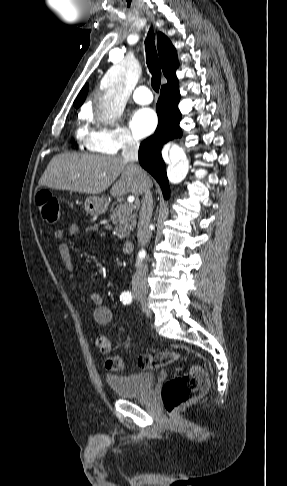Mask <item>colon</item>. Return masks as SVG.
<instances>
[{
	"label": "colon",
	"instance_id": "5ec220e1",
	"mask_svg": "<svg viewBox=\"0 0 287 486\" xmlns=\"http://www.w3.org/2000/svg\"><path fill=\"white\" fill-rule=\"evenodd\" d=\"M36 203L45 222L55 223L59 219L58 199L49 190H39L36 194ZM95 345L104 355L106 369L119 371L123 368L122 358L112 353L111 343L106 335H98ZM179 358L180 354L177 352L161 351L141 355L137 364L142 369H158L177 361ZM207 388V375L199 367H193L188 373L167 380L162 388V399L166 412L173 417L182 406L205 393Z\"/></svg>",
	"mask_w": 287,
	"mask_h": 486
}]
</instances>
